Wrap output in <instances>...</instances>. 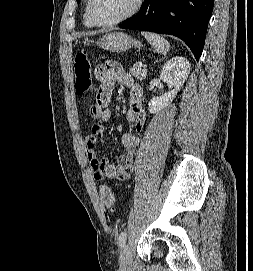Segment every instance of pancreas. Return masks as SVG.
Here are the masks:
<instances>
[{
  "label": "pancreas",
  "mask_w": 253,
  "mask_h": 271,
  "mask_svg": "<svg viewBox=\"0 0 253 271\" xmlns=\"http://www.w3.org/2000/svg\"><path fill=\"white\" fill-rule=\"evenodd\" d=\"M130 74H132L134 77H136L139 80H144L147 74L146 67L142 68L138 66V63L134 64L132 68L130 69Z\"/></svg>",
  "instance_id": "obj_1"
}]
</instances>
